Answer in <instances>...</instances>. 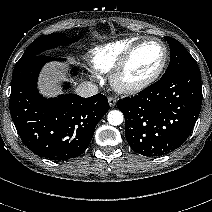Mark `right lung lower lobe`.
Segmentation results:
<instances>
[{"instance_id": "98d812e1", "label": "right lung lower lobe", "mask_w": 212, "mask_h": 212, "mask_svg": "<svg viewBox=\"0 0 212 212\" xmlns=\"http://www.w3.org/2000/svg\"><path fill=\"white\" fill-rule=\"evenodd\" d=\"M50 60L53 58L37 55L15 65L10 113L20 138L33 153L64 161L86 150L109 105L107 97L100 93L89 98L70 93L43 98L37 90V76ZM73 72L77 73L76 67ZM64 88L68 89L69 84Z\"/></svg>"}]
</instances>
